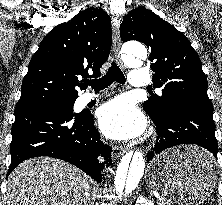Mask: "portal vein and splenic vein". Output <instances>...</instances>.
<instances>
[{"mask_svg": "<svg viewBox=\"0 0 222 205\" xmlns=\"http://www.w3.org/2000/svg\"><path fill=\"white\" fill-rule=\"evenodd\" d=\"M155 196H156L157 198H160L159 195H156V194H155Z\"/></svg>", "mask_w": 222, "mask_h": 205, "instance_id": "1", "label": "portal vein and splenic vein"}]
</instances>
